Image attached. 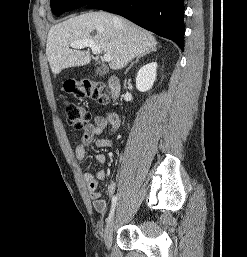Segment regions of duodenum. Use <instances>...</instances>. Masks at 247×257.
Wrapping results in <instances>:
<instances>
[{"label":"duodenum","mask_w":247,"mask_h":257,"mask_svg":"<svg viewBox=\"0 0 247 257\" xmlns=\"http://www.w3.org/2000/svg\"><path fill=\"white\" fill-rule=\"evenodd\" d=\"M107 86H108V89H109L110 96L112 98H116L119 95V92H120L119 80L114 76H110L107 79Z\"/></svg>","instance_id":"duodenum-1"}]
</instances>
